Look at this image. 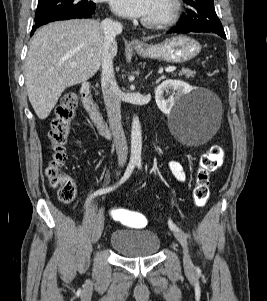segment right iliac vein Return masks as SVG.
Wrapping results in <instances>:
<instances>
[{
    "label": "right iliac vein",
    "mask_w": 267,
    "mask_h": 301,
    "mask_svg": "<svg viewBox=\"0 0 267 301\" xmlns=\"http://www.w3.org/2000/svg\"><path fill=\"white\" fill-rule=\"evenodd\" d=\"M104 228V215L103 212H100L96 218L95 226L92 235V242L95 244L100 239Z\"/></svg>",
    "instance_id": "obj_1"
}]
</instances>
